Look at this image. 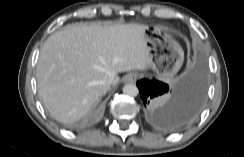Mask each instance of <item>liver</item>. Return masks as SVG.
Returning a JSON list of instances; mask_svg holds the SVG:
<instances>
[{
    "mask_svg": "<svg viewBox=\"0 0 244 157\" xmlns=\"http://www.w3.org/2000/svg\"><path fill=\"white\" fill-rule=\"evenodd\" d=\"M142 24L75 23L50 35L36 67L38 93L59 122L79 120L110 85L107 74L146 70L149 52Z\"/></svg>",
    "mask_w": 244,
    "mask_h": 157,
    "instance_id": "obj_1",
    "label": "liver"
}]
</instances>
